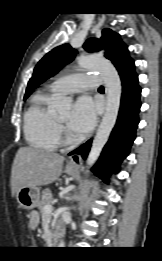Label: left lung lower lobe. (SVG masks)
<instances>
[{"label":"left lung lower lobe","instance_id":"obj_1","mask_svg":"<svg viewBox=\"0 0 162 261\" xmlns=\"http://www.w3.org/2000/svg\"><path fill=\"white\" fill-rule=\"evenodd\" d=\"M134 68V61H132L118 71L122 82L118 119L98 163L92 169L106 183L112 173L119 172L120 163L129 154L139 123L141 88ZM90 146L91 140L70 152L69 155L81 154L85 159Z\"/></svg>","mask_w":162,"mask_h":261}]
</instances>
